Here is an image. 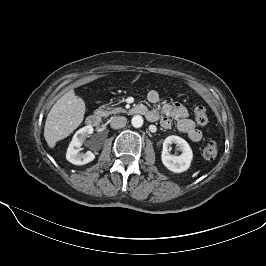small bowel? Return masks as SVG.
Here are the masks:
<instances>
[{
	"label": "small bowel",
	"instance_id": "small-bowel-1",
	"mask_svg": "<svg viewBox=\"0 0 266 266\" xmlns=\"http://www.w3.org/2000/svg\"><path fill=\"white\" fill-rule=\"evenodd\" d=\"M147 99L151 103H157L160 100V94L156 90H151ZM146 111L145 116L148 120L159 121L162 127L169 128L173 118L176 120L178 130L187 134L190 140L198 142L202 139V132L195 127L189 118L188 110L182 104L170 102L159 109L148 110L146 108Z\"/></svg>",
	"mask_w": 266,
	"mask_h": 266
}]
</instances>
